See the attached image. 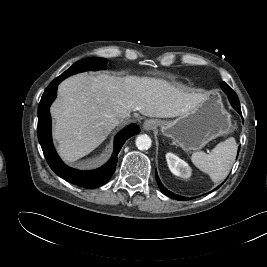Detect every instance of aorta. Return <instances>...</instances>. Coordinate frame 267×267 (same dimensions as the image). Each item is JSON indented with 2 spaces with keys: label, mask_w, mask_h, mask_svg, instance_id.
<instances>
[{
  "label": "aorta",
  "mask_w": 267,
  "mask_h": 267,
  "mask_svg": "<svg viewBox=\"0 0 267 267\" xmlns=\"http://www.w3.org/2000/svg\"><path fill=\"white\" fill-rule=\"evenodd\" d=\"M151 145H152L151 138L146 134L139 135L136 138V146L139 150H148L151 147Z\"/></svg>",
  "instance_id": "aorta-1"
}]
</instances>
